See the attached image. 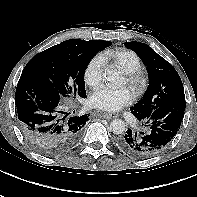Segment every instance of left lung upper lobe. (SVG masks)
I'll return each instance as SVG.
<instances>
[{"label": "left lung upper lobe", "mask_w": 197, "mask_h": 197, "mask_svg": "<svg viewBox=\"0 0 197 197\" xmlns=\"http://www.w3.org/2000/svg\"><path fill=\"white\" fill-rule=\"evenodd\" d=\"M124 45L140 57L149 76L145 94L130 108L135 117L142 118L165 103L185 101L182 81L168 61L145 43L125 42Z\"/></svg>", "instance_id": "1"}]
</instances>
